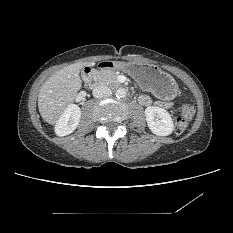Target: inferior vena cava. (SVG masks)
I'll return each instance as SVG.
<instances>
[{
	"label": "inferior vena cava",
	"mask_w": 233,
	"mask_h": 233,
	"mask_svg": "<svg viewBox=\"0 0 233 233\" xmlns=\"http://www.w3.org/2000/svg\"><path fill=\"white\" fill-rule=\"evenodd\" d=\"M111 94H112L111 89L105 85H99L93 89V96L95 98L108 97Z\"/></svg>",
	"instance_id": "obj_1"
}]
</instances>
